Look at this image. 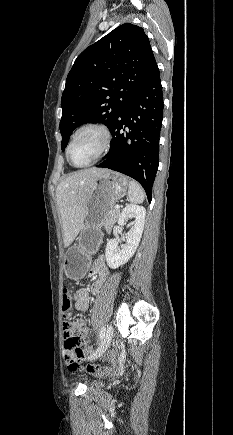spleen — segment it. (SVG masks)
<instances>
[{
  "label": "spleen",
  "instance_id": "3e777b00",
  "mask_svg": "<svg viewBox=\"0 0 233 435\" xmlns=\"http://www.w3.org/2000/svg\"><path fill=\"white\" fill-rule=\"evenodd\" d=\"M145 194L142 187L135 180L129 181L128 199L133 203H142L144 201Z\"/></svg>",
  "mask_w": 233,
  "mask_h": 435
}]
</instances>
